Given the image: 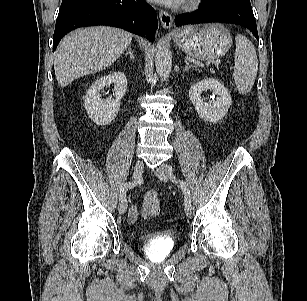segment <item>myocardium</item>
I'll return each mask as SVG.
<instances>
[{
	"label": "myocardium",
	"instance_id": "myocardium-1",
	"mask_svg": "<svg viewBox=\"0 0 307 301\" xmlns=\"http://www.w3.org/2000/svg\"><path fill=\"white\" fill-rule=\"evenodd\" d=\"M202 0H184L183 8L186 10H191L197 8Z\"/></svg>",
	"mask_w": 307,
	"mask_h": 301
}]
</instances>
